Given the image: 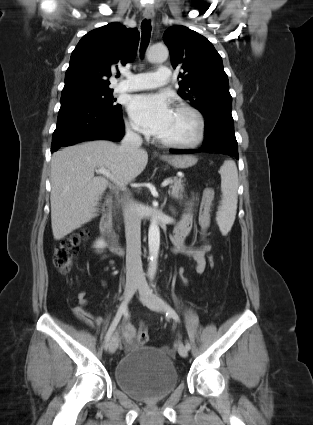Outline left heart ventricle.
I'll use <instances>...</instances> for the list:
<instances>
[{
	"label": "left heart ventricle",
	"mask_w": 313,
	"mask_h": 425,
	"mask_svg": "<svg viewBox=\"0 0 313 425\" xmlns=\"http://www.w3.org/2000/svg\"><path fill=\"white\" fill-rule=\"evenodd\" d=\"M196 131V121L190 114L174 110L167 128L158 137L168 141H189Z\"/></svg>",
	"instance_id": "1"
}]
</instances>
